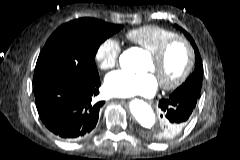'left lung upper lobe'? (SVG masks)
Listing matches in <instances>:
<instances>
[{"label":"left lung upper lobe","instance_id":"left-lung-upper-lobe-1","mask_svg":"<svg viewBox=\"0 0 240 160\" xmlns=\"http://www.w3.org/2000/svg\"><path fill=\"white\" fill-rule=\"evenodd\" d=\"M175 27L180 29L188 38V40L191 42L195 51L196 61H195L194 72L189 76V78L185 81V83H183L180 87H178L172 94L189 95L199 99L200 90L202 86V79H203V65H202L200 53L197 49V46L193 38L184 29L180 28L177 25H175ZM164 129H165V123H163L161 126H159L153 131L154 136H159L164 131ZM156 140H163V139H156Z\"/></svg>","mask_w":240,"mask_h":160}]
</instances>
